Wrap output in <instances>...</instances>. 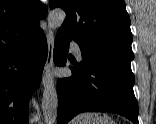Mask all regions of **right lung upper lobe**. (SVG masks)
I'll list each match as a JSON object with an SVG mask.
<instances>
[{
	"label": "right lung upper lobe",
	"mask_w": 156,
	"mask_h": 124,
	"mask_svg": "<svg viewBox=\"0 0 156 124\" xmlns=\"http://www.w3.org/2000/svg\"><path fill=\"white\" fill-rule=\"evenodd\" d=\"M46 15L47 7L38 0H0V44L32 35Z\"/></svg>",
	"instance_id": "cb5924a9"
}]
</instances>
